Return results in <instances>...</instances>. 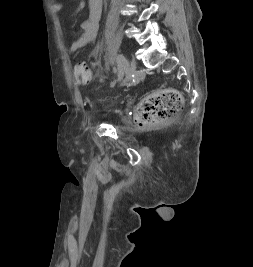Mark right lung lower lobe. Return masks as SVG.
Segmentation results:
<instances>
[{"label": "right lung lower lobe", "instance_id": "right-lung-lower-lobe-1", "mask_svg": "<svg viewBox=\"0 0 253 267\" xmlns=\"http://www.w3.org/2000/svg\"><path fill=\"white\" fill-rule=\"evenodd\" d=\"M146 215H147V216H154L155 213H154L153 211H148Z\"/></svg>", "mask_w": 253, "mask_h": 267}]
</instances>
